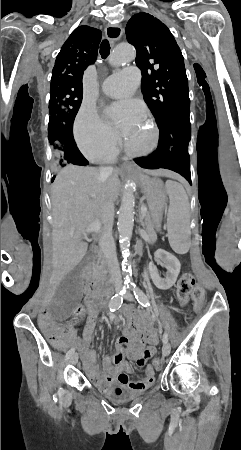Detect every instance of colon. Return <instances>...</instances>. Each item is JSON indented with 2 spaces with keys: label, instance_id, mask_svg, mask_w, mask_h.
Wrapping results in <instances>:
<instances>
[{
  "label": "colon",
  "instance_id": "1",
  "mask_svg": "<svg viewBox=\"0 0 241 450\" xmlns=\"http://www.w3.org/2000/svg\"><path fill=\"white\" fill-rule=\"evenodd\" d=\"M191 296H193L191 298ZM191 298V305L195 306L197 311H202L204 306L209 305V298L204 297L203 287L196 285L195 276L191 272L185 273L178 282L177 299L186 305ZM184 310V309H183ZM78 314H83L85 309L83 306H78L76 309ZM157 360V359H156ZM159 362H154V367H159Z\"/></svg>",
  "mask_w": 241,
  "mask_h": 450
}]
</instances>
